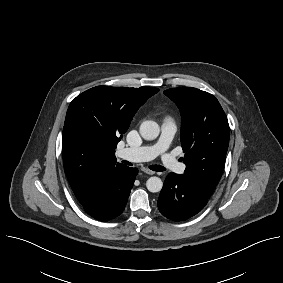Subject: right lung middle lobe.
Returning a JSON list of instances; mask_svg holds the SVG:
<instances>
[{
	"label": "right lung middle lobe",
	"instance_id": "right-lung-middle-lobe-1",
	"mask_svg": "<svg viewBox=\"0 0 283 283\" xmlns=\"http://www.w3.org/2000/svg\"><path fill=\"white\" fill-rule=\"evenodd\" d=\"M69 116L72 125L80 132L90 137H98L101 129L98 115L83 101L71 102L69 105Z\"/></svg>",
	"mask_w": 283,
	"mask_h": 283
}]
</instances>
